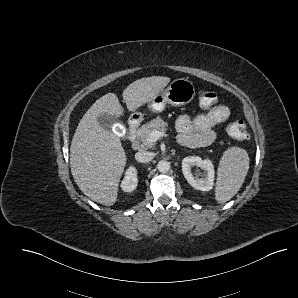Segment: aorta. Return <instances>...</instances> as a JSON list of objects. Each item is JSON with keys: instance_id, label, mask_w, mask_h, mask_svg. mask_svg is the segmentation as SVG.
<instances>
[{"instance_id": "1", "label": "aorta", "mask_w": 298, "mask_h": 298, "mask_svg": "<svg viewBox=\"0 0 298 298\" xmlns=\"http://www.w3.org/2000/svg\"><path fill=\"white\" fill-rule=\"evenodd\" d=\"M171 168V164L169 161L165 159L158 160L157 169L159 172L165 173Z\"/></svg>"}]
</instances>
